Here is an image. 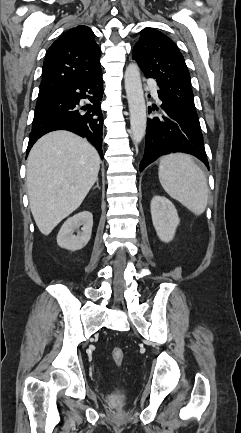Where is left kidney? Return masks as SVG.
<instances>
[{
  "instance_id": "1",
  "label": "left kidney",
  "mask_w": 241,
  "mask_h": 433,
  "mask_svg": "<svg viewBox=\"0 0 241 433\" xmlns=\"http://www.w3.org/2000/svg\"><path fill=\"white\" fill-rule=\"evenodd\" d=\"M150 210L153 226L159 239L166 243L172 241L180 223L175 206L165 197L154 196Z\"/></svg>"
}]
</instances>
